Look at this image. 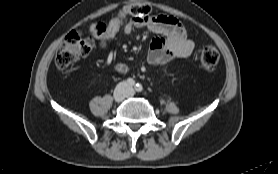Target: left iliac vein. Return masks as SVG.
I'll list each match as a JSON object with an SVG mask.
<instances>
[{
  "instance_id": "obj_1",
  "label": "left iliac vein",
  "mask_w": 278,
  "mask_h": 174,
  "mask_svg": "<svg viewBox=\"0 0 278 174\" xmlns=\"http://www.w3.org/2000/svg\"><path fill=\"white\" fill-rule=\"evenodd\" d=\"M133 95V92L129 89L128 90V96H132Z\"/></svg>"
}]
</instances>
